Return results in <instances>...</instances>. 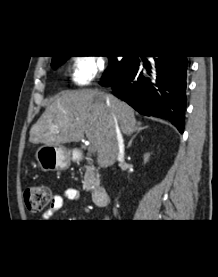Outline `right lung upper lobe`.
<instances>
[{
	"label": "right lung upper lobe",
	"mask_w": 218,
	"mask_h": 277,
	"mask_svg": "<svg viewBox=\"0 0 218 277\" xmlns=\"http://www.w3.org/2000/svg\"><path fill=\"white\" fill-rule=\"evenodd\" d=\"M57 57H60V56H53L52 60H53V59H56Z\"/></svg>",
	"instance_id": "right-lung-upper-lobe-1"
}]
</instances>
